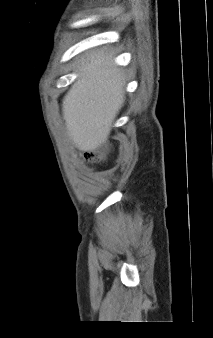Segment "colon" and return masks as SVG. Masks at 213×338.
<instances>
[{"label": "colon", "mask_w": 213, "mask_h": 338, "mask_svg": "<svg viewBox=\"0 0 213 338\" xmlns=\"http://www.w3.org/2000/svg\"><path fill=\"white\" fill-rule=\"evenodd\" d=\"M84 159L91 163H99L102 160V155L95 152H88L84 154Z\"/></svg>", "instance_id": "colon-1"}]
</instances>
